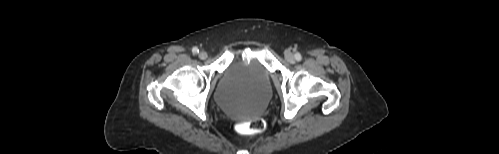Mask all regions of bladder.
Returning <instances> with one entry per match:
<instances>
[{
    "label": "bladder",
    "instance_id": "1",
    "mask_svg": "<svg viewBox=\"0 0 499 154\" xmlns=\"http://www.w3.org/2000/svg\"><path fill=\"white\" fill-rule=\"evenodd\" d=\"M271 92V77L265 65L257 57H236L225 69L214 97L227 113L250 116L266 107Z\"/></svg>",
    "mask_w": 499,
    "mask_h": 154
}]
</instances>
